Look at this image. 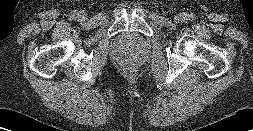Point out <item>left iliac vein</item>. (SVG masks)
Wrapping results in <instances>:
<instances>
[{"label":"left iliac vein","mask_w":253,"mask_h":131,"mask_svg":"<svg viewBox=\"0 0 253 131\" xmlns=\"http://www.w3.org/2000/svg\"><path fill=\"white\" fill-rule=\"evenodd\" d=\"M185 20H186V15L185 14L180 13V14H177L175 16V21L178 22V23L183 22Z\"/></svg>","instance_id":"4c4485c4"}]
</instances>
